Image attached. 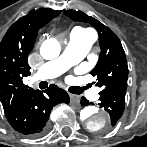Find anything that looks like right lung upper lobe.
<instances>
[{
  "label": "right lung upper lobe",
  "instance_id": "1",
  "mask_svg": "<svg viewBox=\"0 0 147 147\" xmlns=\"http://www.w3.org/2000/svg\"><path fill=\"white\" fill-rule=\"evenodd\" d=\"M59 13L45 8L32 10L18 19L3 37L0 43V101L5 113L18 108L36 91L22 81L30 75L27 58L38 29Z\"/></svg>",
  "mask_w": 147,
  "mask_h": 147
}]
</instances>
